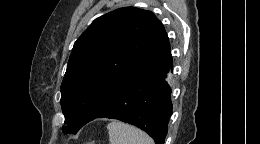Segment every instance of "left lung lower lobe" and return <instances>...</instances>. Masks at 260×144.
I'll use <instances>...</instances> for the list:
<instances>
[{
  "instance_id": "left-lung-lower-lobe-1",
  "label": "left lung lower lobe",
  "mask_w": 260,
  "mask_h": 144,
  "mask_svg": "<svg viewBox=\"0 0 260 144\" xmlns=\"http://www.w3.org/2000/svg\"><path fill=\"white\" fill-rule=\"evenodd\" d=\"M162 60L171 61L173 71L170 45L134 68L95 119L109 118L132 124L149 134L156 144H164L172 103L171 89L158 66Z\"/></svg>"
}]
</instances>
